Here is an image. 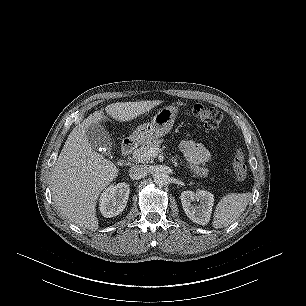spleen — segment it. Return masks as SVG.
Segmentation results:
<instances>
[{
    "label": "spleen",
    "mask_w": 306,
    "mask_h": 306,
    "mask_svg": "<svg viewBox=\"0 0 306 306\" xmlns=\"http://www.w3.org/2000/svg\"><path fill=\"white\" fill-rule=\"evenodd\" d=\"M252 194L230 193L218 203L213 219L214 228H223L232 224L246 209Z\"/></svg>",
    "instance_id": "spleen-1"
}]
</instances>
